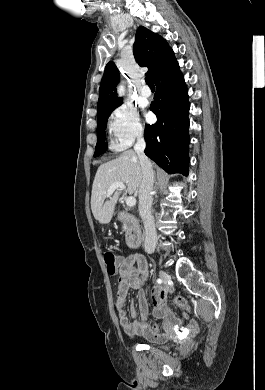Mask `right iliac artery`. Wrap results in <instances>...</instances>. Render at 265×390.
I'll use <instances>...</instances> for the list:
<instances>
[{
    "instance_id": "obj_1",
    "label": "right iliac artery",
    "mask_w": 265,
    "mask_h": 390,
    "mask_svg": "<svg viewBox=\"0 0 265 390\" xmlns=\"http://www.w3.org/2000/svg\"><path fill=\"white\" fill-rule=\"evenodd\" d=\"M157 283L158 284H161L162 283V280L160 278L157 279Z\"/></svg>"
}]
</instances>
